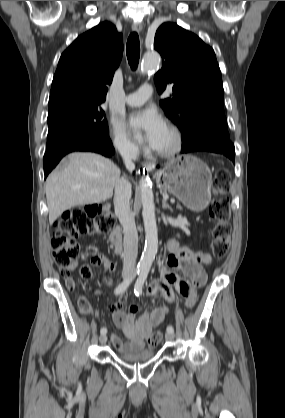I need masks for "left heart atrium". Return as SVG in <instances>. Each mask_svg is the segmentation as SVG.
<instances>
[{"label": "left heart atrium", "instance_id": "39dd6f15", "mask_svg": "<svg viewBox=\"0 0 285 418\" xmlns=\"http://www.w3.org/2000/svg\"><path fill=\"white\" fill-rule=\"evenodd\" d=\"M130 126L144 135L145 141L157 147L167 130L165 120L154 108H146L133 112L130 115Z\"/></svg>", "mask_w": 285, "mask_h": 418}]
</instances>
